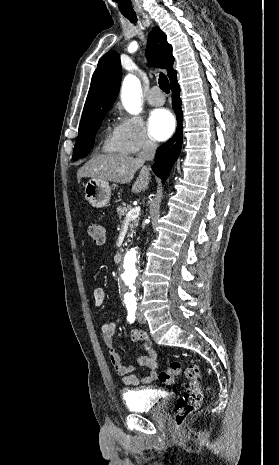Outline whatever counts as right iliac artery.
<instances>
[{
    "mask_svg": "<svg viewBox=\"0 0 279 465\" xmlns=\"http://www.w3.org/2000/svg\"><path fill=\"white\" fill-rule=\"evenodd\" d=\"M128 316L127 319L130 323H133L135 320V314H136V307L135 306H128Z\"/></svg>",
    "mask_w": 279,
    "mask_h": 465,
    "instance_id": "right-iliac-artery-1",
    "label": "right iliac artery"
}]
</instances>
